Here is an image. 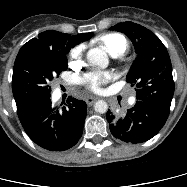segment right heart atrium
I'll return each mask as SVG.
<instances>
[{
  "mask_svg": "<svg viewBox=\"0 0 187 187\" xmlns=\"http://www.w3.org/2000/svg\"><path fill=\"white\" fill-rule=\"evenodd\" d=\"M84 52V47L82 45L75 47L72 51H71V59L74 62H77L81 59L82 55Z\"/></svg>",
  "mask_w": 187,
  "mask_h": 187,
  "instance_id": "1",
  "label": "right heart atrium"
}]
</instances>
